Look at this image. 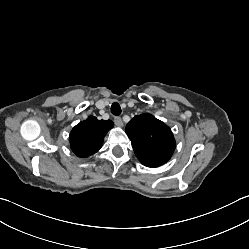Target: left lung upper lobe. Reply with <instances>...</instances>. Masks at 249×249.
Segmentation results:
<instances>
[{
  "instance_id": "5c2ea615",
  "label": "left lung upper lobe",
  "mask_w": 249,
  "mask_h": 249,
  "mask_svg": "<svg viewBox=\"0 0 249 249\" xmlns=\"http://www.w3.org/2000/svg\"><path fill=\"white\" fill-rule=\"evenodd\" d=\"M135 155L147 167L165 164L176 147L171 129L149 113L135 116L126 126Z\"/></svg>"
}]
</instances>
